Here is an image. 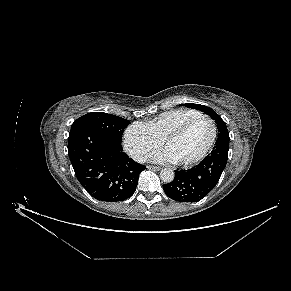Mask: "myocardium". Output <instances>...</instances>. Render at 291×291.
I'll use <instances>...</instances> for the list:
<instances>
[{"mask_svg":"<svg viewBox=\"0 0 291 291\" xmlns=\"http://www.w3.org/2000/svg\"><path fill=\"white\" fill-rule=\"evenodd\" d=\"M200 120H206L210 123V125H211V138H210L208 144L206 145V147L203 149V151L199 155H197L196 157H194L190 160H187V161H175L176 164H178L180 166L189 167V166L195 165V164L199 163L200 161H202L208 155V153L210 152V150L214 146L216 138H217V126H216L215 121L207 115H199V116L193 117V118L187 120L186 122H184L183 124H181L180 126H178L176 129H174L170 133H168L163 139V145L166 146L168 142L180 137L194 123H196L197 121H200Z\"/></svg>","mask_w":291,"mask_h":291,"instance_id":"myocardium-1","label":"myocardium"}]
</instances>
